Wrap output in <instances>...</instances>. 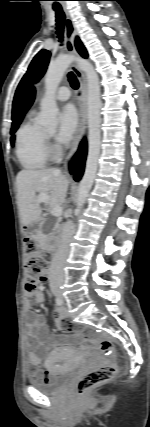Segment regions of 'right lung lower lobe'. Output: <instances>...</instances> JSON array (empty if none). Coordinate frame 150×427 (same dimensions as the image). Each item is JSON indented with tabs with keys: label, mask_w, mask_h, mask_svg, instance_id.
I'll return each instance as SVG.
<instances>
[{
	"label": "right lung lower lobe",
	"mask_w": 150,
	"mask_h": 427,
	"mask_svg": "<svg viewBox=\"0 0 150 427\" xmlns=\"http://www.w3.org/2000/svg\"><path fill=\"white\" fill-rule=\"evenodd\" d=\"M85 157H86V141L83 140L70 164L71 174H74V179L76 181H79L83 174Z\"/></svg>",
	"instance_id": "right-lung-lower-lobe-1"
}]
</instances>
